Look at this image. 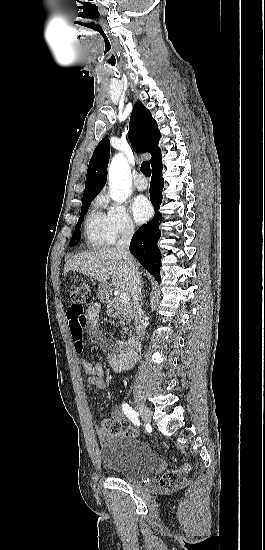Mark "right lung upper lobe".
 Here are the masks:
<instances>
[{
  "mask_svg": "<svg viewBox=\"0 0 265 550\" xmlns=\"http://www.w3.org/2000/svg\"><path fill=\"white\" fill-rule=\"evenodd\" d=\"M160 137L157 122L153 119L150 111L142 102H137L130 117L129 140L136 152H149L152 155L150 159L152 167L161 160V150L158 147ZM109 155V139L103 138L89 162L83 199L95 198L104 187Z\"/></svg>",
  "mask_w": 265,
  "mask_h": 550,
  "instance_id": "obj_1",
  "label": "right lung upper lobe"
}]
</instances>
